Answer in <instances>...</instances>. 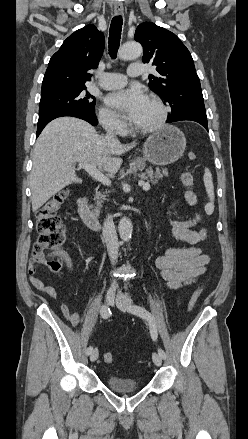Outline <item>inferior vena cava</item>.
<instances>
[{
  "label": "inferior vena cava",
  "instance_id": "602c4592",
  "mask_svg": "<svg viewBox=\"0 0 248 439\" xmlns=\"http://www.w3.org/2000/svg\"><path fill=\"white\" fill-rule=\"evenodd\" d=\"M112 123L113 120L107 121V139L117 140L116 135L113 133L112 129ZM103 237L107 246V251L109 254L110 261L112 265H115L118 258V252H119V244H118V237L116 233V229L114 226V223L111 219V217L108 215L106 220L103 224ZM116 284V281L113 282L112 286L114 287Z\"/></svg>",
  "mask_w": 248,
  "mask_h": 439
}]
</instances>
